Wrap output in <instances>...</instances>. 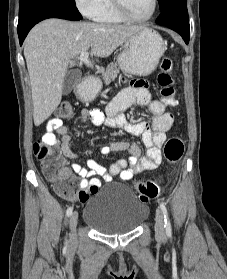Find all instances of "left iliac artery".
I'll return each mask as SVG.
<instances>
[{
  "label": "left iliac artery",
  "mask_w": 227,
  "mask_h": 279,
  "mask_svg": "<svg viewBox=\"0 0 227 279\" xmlns=\"http://www.w3.org/2000/svg\"><path fill=\"white\" fill-rule=\"evenodd\" d=\"M160 208H161V210L163 212V216H164V223H165L164 227H165V230H166V234L168 236H171L172 229H171V223H170L167 208H166L164 203H160Z\"/></svg>",
  "instance_id": "obj_1"
}]
</instances>
